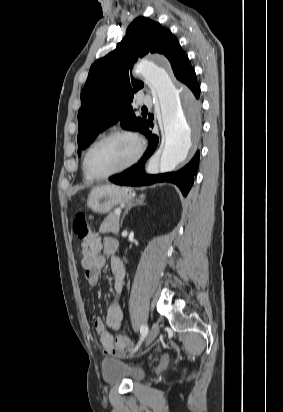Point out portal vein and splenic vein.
Segmentation results:
<instances>
[{
	"label": "portal vein and splenic vein",
	"instance_id": "18ae733b",
	"mask_svg": "<svg viewBox=\"0 0 283 412\" xmlns=\"http://www.w3.org/2000/svg\"><path fill=\"white\" fill-rule=\"evenodd\" d=\"M115 213L120 216L121 210H120V209H116V210H115Z\"/></svg>",
	"mask_w": 283,
	"mask_h": 412
}]
</instances>
